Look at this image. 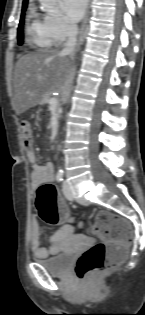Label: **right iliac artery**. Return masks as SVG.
<instances>
[{
	"label": "right iliac artery",
	"instance_id": "obj_1",
	"mask_svg": "<svg viewBox=\"0 0 145 315\" xmlns=\"http://www.w3.org/2000/svg\"><path fill=\"white\" fill-rule=\"evenodd\" d=\"M56 180L57 182H62L64 179H63V174L62 173H58L57 176H56Z\"/></svg>",
	"mask_w": 145,
	"mask_h": 315
}]
</instances>
